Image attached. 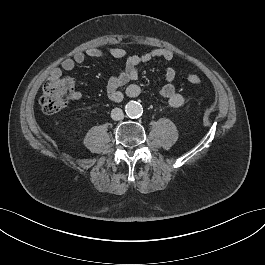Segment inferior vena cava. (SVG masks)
Listing matches in <instances>:
<instances>
[{
  "instance_id": "inferior-vena-cava-1",
  "label": "inferior vena cava",
  "mask_w": 265,
  "mask_h": 265,
  "mask_svg": "<svg viewBox=\"0 0 265 265\" xmlns=\"http://www.w3.org/2000/svg\"><path fill=\"white\" fill-rule=\"evenodd\" d=\"M124 117V114H123V111L122 109L120 108H114L112 111H111V118L113 120H120Z\"/></svg>"
}]
</instances>
